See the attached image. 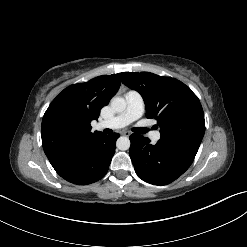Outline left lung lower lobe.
I'll return each mask as SVG.
<instances>
[{
  "instance_id": "1",
  "label": "left lung lower lobe",
  "mask_w": 247,
  "mask_h": 247,
  "mask_svg": "<svg viewBox=\"0 0 247 247\" xmlns=\"http://www.w3.org/2000/svg\"><path fill=\"white\" fill-rule=\"evenodd\" d=\"M129 155L137 175L154 185H166L180 177L195 155L159 140L155 145L144 136L132 134Z\"/></svg>"
}]
</instances>
